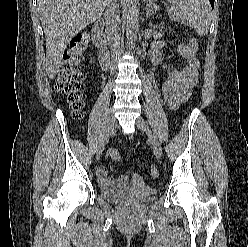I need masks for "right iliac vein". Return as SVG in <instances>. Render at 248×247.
Segmentation results:
<instances>
[{"label": "right iliac vein", "mask_w": 248, "mask_h": 247, "mask_svg": "<svg viewBox=\"0 0 248 247\" xmlns=\"http://www.w3.org/2000/svg\"><path fill=\"white\" fill-rule=\"evenodd\" d=\"M114 124H115V118H114L113 113L111 111L108 115L106 129H105L102 141L99 144L98 149H97V156H96L97 160L100 158V156L104 150L105 144L113 132Z\"/></svg>", "instance_id": "1"}]
</instances>
